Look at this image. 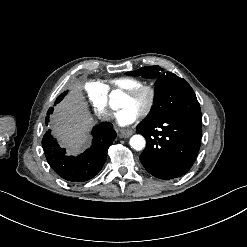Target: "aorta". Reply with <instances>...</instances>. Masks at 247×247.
Segmentation results:
<instances>
[{
	"mask_svg": "<svg viewBox=\"0 0 247 247\" xmlns=\"http://www.w3.org/2000/svg\"><path fill=\"white\" fill-rule=\"evenodd\" d=\"M145 144L146 141L142 135L136 134L130 139V145L136 151L142 150L145 147Z\"/></svg>",
	"mask_w": 247,
	"mask_h": 247,
	"instance_id": "1",
	"label": "aorta"
}]
</instances>
